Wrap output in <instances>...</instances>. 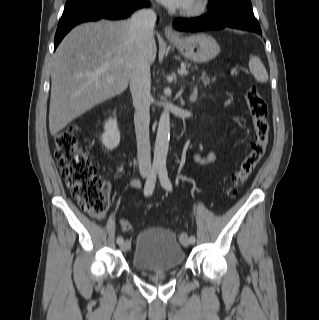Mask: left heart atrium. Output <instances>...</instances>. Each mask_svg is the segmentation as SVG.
<instances>
[{
	"mask_svg": "<svg viewBox=\"0 0 319 320\" xmlns=\"http://www.w3.org/2000/svg\"><path fill=\"white\" fill-rule=\"evenodd\" d=\"M171 9H182L187 7L192 0H158Z\"/></svg>",
	"mask_w": 319,
	"mask_h": 320,
	"instance_id": "39dd6f15",
	"label": "left heart atrium"
}]
</instances>
